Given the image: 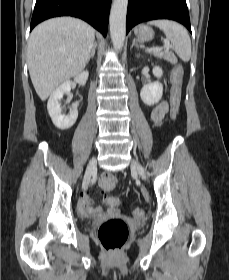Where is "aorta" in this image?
<instances>
[{
  "label": "aorta",
  "mask_w": 229,
  "mask_h": 280,
  "mask_svg": "<svg viewBox=\"0 0 229 280\" xmlns=\"http://www.w3.org/2000/svg\"><path fill=\"white\" fill-rule=\"evenodd\" d=\"M128 0H114L110 12V36L115 49H122L125 41Z\"/></svg>",
  "instance_id": "1"
}]
</instances>
